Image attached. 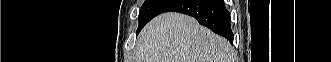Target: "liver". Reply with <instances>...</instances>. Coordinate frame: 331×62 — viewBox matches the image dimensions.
Masks as SVG:
<instances>
[{
  "label": "liver",
  "instance_id": "1",
  "mask_svg": "<svg viewBox=\"0 0 331 62\" xmlns=\"http://www.w3.org/2000/svg\"><path fill=\"white\" fill-rule=\"evenodd\" d=\"M138 62H231L232 47L223 37L187 15L165 13L141 31Z\"/></svg>",
  "mask_w": 331,
  "mask_h": 62
}]
</instances>
